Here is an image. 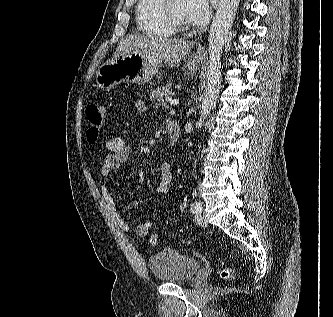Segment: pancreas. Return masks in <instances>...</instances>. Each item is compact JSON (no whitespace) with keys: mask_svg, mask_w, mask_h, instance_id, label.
I'll use <instances>...</instances> for the list:
<instances>
[{"mask_svg":"<svg viewBox=\"0 0 333 317\" xmlns=\"http://www.w3.org/2000/svg\"><path fill=\"white\" fill-rule=\"evenodd\" d=\"M172 94L170 86L157 87L151 92L150 99L159 106L166 107L165 97Z\"/></svg>","mask_w":333,"mask_h":317,"instance_id":"obj_1","label":"pancreas"}]
</instances>
